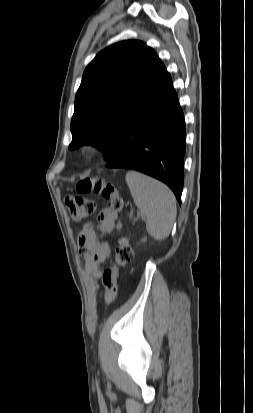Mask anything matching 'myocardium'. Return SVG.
<instances>
[{"label": "myocardium", "instance_id": "myocardium-1", "mask_svg": "<svg viewBox=\"0 0 253 413\" xmlns=\"http://www.w3.org/2000/svg\"><path fill=\"white\" fill-rule=\"evenodd\" d=\"M83 151H84L85 154H90V153H92L93 148H92L91 146L85 147V148L83 149Z\"/></svg>", "mask_w": 253, "mask_h": 413}]
</instances>
